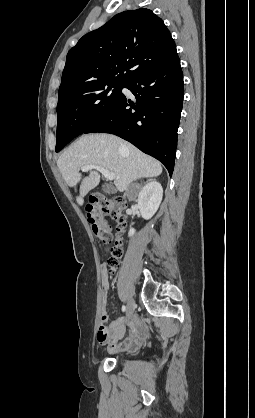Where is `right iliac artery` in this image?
Segmentation results:
<instances>
[{
    "instance_id": "1",
    "label": "right iliac artery",
    "mask_w": 255,
    "mask_h": 418,
    "mask_svg": "<svg viewBox=\"0 0 255 418\" xmlns=\"http://www.w3.org/2000/svg\"><path fill=\"white\" fill-rule=\"evenodd\" d=\"M122 311H123V312H125V311H126V306H125V305H123V306H122Z\"/></svg>"
}]
</instances>
